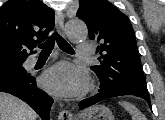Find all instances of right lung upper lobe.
<instances>
[{
	"label": "right lung upper lobe",
	"mask_w": 165,
	"mask_h": 120,
	"mask_svg": "<svg viewBox=\"0 0 165 120\" xmlns=\"http://www.w3.org/2000/svg\"><path fill=\"white\" fill-rule=\"evenodd\" d=\"M54 22V11L40 0H8L0 8V63L26 60Z\"/></svg>",
	"instance_id": "right-lung-upper-lobe-1"
}]
</instances>
